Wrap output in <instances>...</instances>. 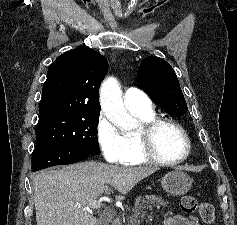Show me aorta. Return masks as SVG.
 I'll return each mask as SVG.
<instances>
[{"label": "aorta", "mask_w": 237, "mask_h": 225, "mask_svg": "<svg viewBox=\"0 0 237 225\" xmlns=\"http://www.w3.org/2000/svg\"><path fill=\"white\" fill-rule=\"evenodd\" d=\"M100 105L106 117L122 130H131L137 126L122 100L121 88L114 77L106 78L100 87Z\"/></svg>", "instance_id": "762f6f07"}]
</instances>
